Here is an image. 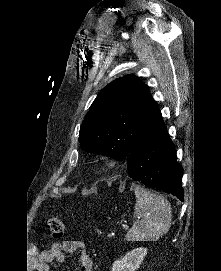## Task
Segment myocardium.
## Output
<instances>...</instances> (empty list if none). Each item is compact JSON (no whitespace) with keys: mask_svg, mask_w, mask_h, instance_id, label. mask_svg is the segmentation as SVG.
I'll return each mask as SVG.
<instances>
[{"mask_svg":"<svg viewBox=\"0 0 221 271\" xmlns=\"http://www.w3.org/2000/svg\"><path fill=\"white\" fill-rule=\"evenodd\" d=\"M108 170H105L106 172H109V173H117L118 171H120V170H113L115 167L112 165L111 167L108 165L107 167H106ZM112 169V170H109V169Z\"/></svg>","mask_w":221,"mask_h":271,"instance_id":"f54148a6","label":"myocardium"}]
</instances>
